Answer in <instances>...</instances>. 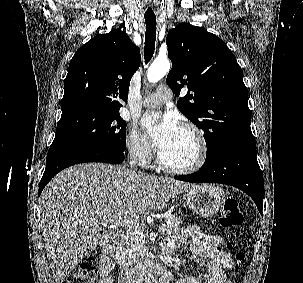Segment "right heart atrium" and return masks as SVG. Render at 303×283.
Here are the masks:
<instances>
[{
  "instance_id": "d8ad5b80",
  "label": "right heart atrium",
  "mask_w": 303,
  "mask_h": 283,
  "mask_svg": "<svg viewBox=\"0 0 303 283\" xmlns=\"http://www.w3.org/2000/svg\"><path fill=\"white\" fill-rule=\"evenodd\" d=\"M127 150L139 163H147L153 156V148L146 138L136 129L131 128L127 135Z\"/></svg>"
}]
</instances>
